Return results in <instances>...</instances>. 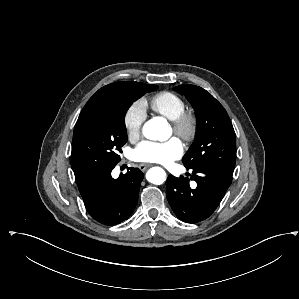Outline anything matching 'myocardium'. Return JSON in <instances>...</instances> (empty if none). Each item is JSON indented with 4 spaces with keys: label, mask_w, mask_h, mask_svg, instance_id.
Listing matches in <instances>:
<instances>
[{
    "label": "myocardium",
    "mask_w": 299,
    "mask_h": 299,
    "mask_svg": "<svg viewBox=\"0 0 299 299\" xmlns=\"http://www.w3.org/2000/svg\"><path fill=\"white\" fill-rule=\"evenodd\" d=\"M172 128L176 136L189 143L194 140L197 134V117L193 112L185 110L176 119L172 120Z\"/></svg>",
    "instance_id": "myocardium-1"
}]
</instances>
